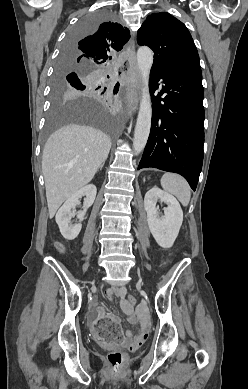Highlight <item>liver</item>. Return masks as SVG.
I'll use <instances>...</instances> for the list:
<instances>
[{
    "label": "liver",
    "instance_id": "liver-1",
    "mask_svg": "<svg viewBox=\"0 0 248 389\" xmlns=\"http://www.w3.org/2000/svg\"><path fill=\"white\" fill-rule=\"evenodd\" d=\"M110 148V138L91 126L67 125L48 138L42 173L50 218L65 200L93 179Z\"/></svg>",
    "mask_w": 248,
    "mask_h": 389
}]
</instances>
